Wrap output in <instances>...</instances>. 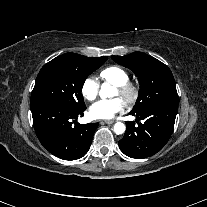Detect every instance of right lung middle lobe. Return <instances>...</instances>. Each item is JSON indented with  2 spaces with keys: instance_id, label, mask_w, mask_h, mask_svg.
Masks as SVG:
<instances>
[{
  "instance_id": "1",
  "label": "right lung middle lobe",
  "mask_w": 207,
  "mask_h": 207,
  "mask_svg": "<svg viewBox=\"0 0 207 207\" xmlns=\"http://www.w3.org/2000/svg\"><path fill=\"white\" fill-rule=\"evenodd\" d=\"M106 60L107 57L90 58L75 53L54 58L40 70L31 103L51 100L73 109L85 107L82 86L87 76Z\"/></svg>"
}]
</instances>
